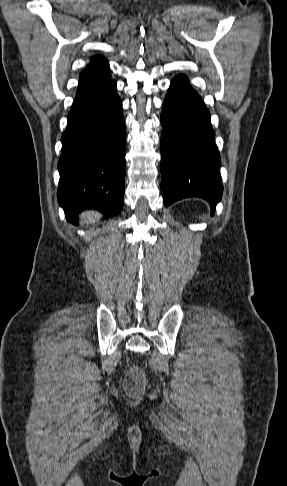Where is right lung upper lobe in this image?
<instances>
[{"mask_svg": "<svg viewBox=\"0 0 287 486\" xmlns=\"http://www.w3.org/2000/svg\"><path fill=\"white\" fill-rule=\"evenodd\" d=\"M110 79L108 61L101 55L92 57L88 65L79 76L78 89L89 87Z\"/></svg>", "mask_w": 287, "mask_h": 486, "instance_id": "obj_1", "label": "right lung upper lobe"}]
</instances>
